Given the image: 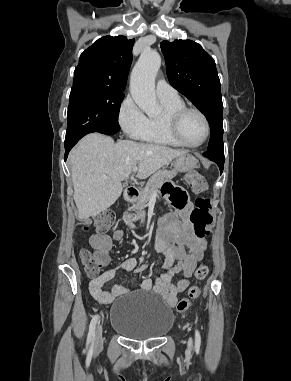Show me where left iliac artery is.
Here are the masks:
<instances>
[{"label": "left iliac artery", "instance_id": "44dca946", "mask_svg": "<svg viewBox=\"0 0 291 381\" xmlns=\"http://www.w3.org/2000/svg\"><path fill=\"white\" fill-rule=\"evenodd\" d=\"M201 344V336L198 330L195 332V346L198 348Z\"/></svg>", "mask_w": 291, "mask_h": 381}]
</instances>
